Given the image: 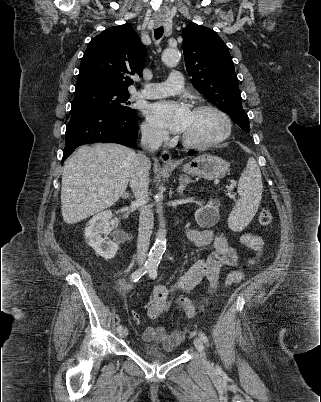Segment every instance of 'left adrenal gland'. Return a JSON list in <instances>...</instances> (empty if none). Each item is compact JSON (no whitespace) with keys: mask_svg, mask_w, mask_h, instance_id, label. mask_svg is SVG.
<instances>
[{"mask_svg":"<svg viewBox=\"0 0 321 402\" xmlns=\"http://www.w3.org/2000/svg\"><path fill=\"white\" fill-rule=\"evenodd\" d=\"M194 182L191 180L187 175H181L179 178V187L177 188V192L179 194H183V191L185 190L186 186L188 183Z\"/></svg>","mask_w":321,"mask_h":402,"instance_id":"left-adrenal-gland-1","label":"left adrenal gland"}]
</instances>
